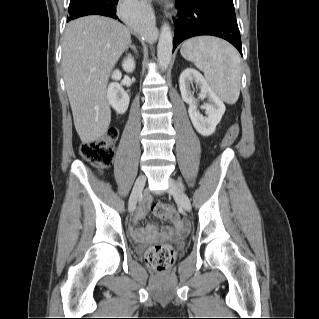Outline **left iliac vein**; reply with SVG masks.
I'll list each match as a JSON object with an SVG mask.
<instances>
[{
  "mask_svg": "<svg viewBox=\"0 0 319 319\" xmlns=\"http://www.w3.org/2000/svg\"><path fill=\"white\" fill-rule=\"evenodd\" d=\"M168 193L178 200L179 204L185 211H191V202L189 197L180 189L173 179H169Z\"/></svg>",
  "mask_w": 319,
  "mask_h": 319,
  "instance_id": "obj_1",
  "label": "left iliac vein"
}]
</instances>
